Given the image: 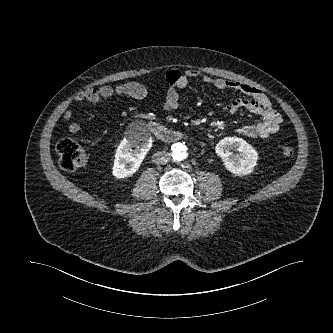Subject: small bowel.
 <instances>
[{"instance_id":"obj_1","label":"small bowel","mask_w":333,"mask_h":333,"mask_svg":"<svg viewBox=\"0 0 333 333\" xmlns=\"http://www.w3.org/2000/svg\"><path fill=\"white\" fill-rule=\"evenodd\" d=\"M200 76L196 69H188L184 72L169 71L165 75V82L168 89L161 101L165 110H175L180 106V90L185 88L190 79ZM202 80L208 85L214 86L218 90H233L243 93L248 98H238L224 107L225 114L233 116L240 110L250 111L260 117V120L243 125L239 128V133L249 138H267L278 132L282 123L281 115L272 107L266 95L259 89L238 81L225 80L222 78H213L203 75ZM148 91L144 85L138 82H127L116 87L102 86L100 88H91L80 92L74 98L76 103H99L116 96H127L135 99L146 98ZM72 117V111L67 110L64 113V120L69 121ZM68 129L77 133L81 129L78 121H70Z\"/></svg>"}]
</instances>
